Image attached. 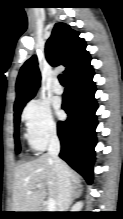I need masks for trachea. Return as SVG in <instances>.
I'll return each instance as SVG.
<instances>
[{
    "instance_id": "obj_1",
    "label": "trachea",
    "mask_w": 123,
    "mask_h": 219,
    "mask_svg": "<svg viewBox=\"0 0 123 219\" xmlns=\"http://www.w3.org/2000/svg\"><path fill=\"white\" fill-rule=\"evenodd\" d=\"M58 78L62 85H66V79H65L64 74H60Z\"/></svg>"
}]
</instances>
